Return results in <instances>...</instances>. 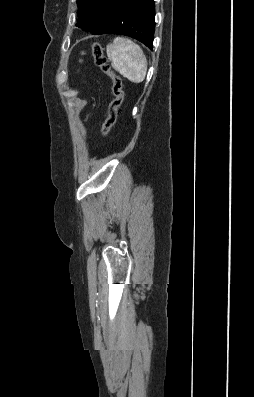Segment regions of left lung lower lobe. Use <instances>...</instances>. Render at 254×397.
Returning a JSON list of instances; mask_svg holds the SVG:
<instances>
[{
    "label": "left lung lower lobe",
    "instance_id": "obj_1",
    "mask_svg": "<svg viewBox=\"0 0 254 397\" xmlns=\"http://www.w3.org/2000/svg\"><path fill=\"white\" fill-rule=\"evenodd\" d=\"M107 9L92 34L131 36L151 50L155 30L154 0H107Z\"/></svg>",
    "mask_w": 254,
    "mask_h": 397
}]
</instances>
